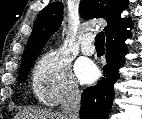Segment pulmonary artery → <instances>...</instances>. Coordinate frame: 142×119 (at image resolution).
<instances>
[{"label":"pulmonary artery","instance_id":"e3ab8cb5","mask_svg":"<svg viewBox=\"0 0 142 119\" xmlns=\"http://www.w3.org/2000/svg\"><path fill=\"white\" fill-rule=\"evenodd\" d=\"M93 37L91 34H87L81 44V52L85 55H93L95 52V47L92 43Z\"/></svg>","mask_w":142,"mask_h":119}]
</instances>
